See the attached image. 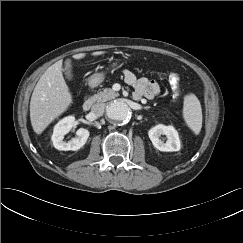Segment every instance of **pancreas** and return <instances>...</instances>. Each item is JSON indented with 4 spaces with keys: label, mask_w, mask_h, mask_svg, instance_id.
<instances>
[{
    "label": "pancreas",
    "mask_w": 243,
    "mask_h": 243,
    "mask_svg": "<svg viewBox=\"0 0 243 243\" xmlns=\"http://www.w3.org/2000/svg\"><path fill=\"white\" fill-rule=\"evenodd\" d=\"M119 96L118 92H115L111 88H104L102 91L95 94L92 99L96 102H106Z\"/></svg>",
    "instance_id": "obj_1"
}]
</instances>
